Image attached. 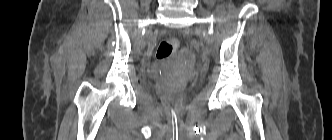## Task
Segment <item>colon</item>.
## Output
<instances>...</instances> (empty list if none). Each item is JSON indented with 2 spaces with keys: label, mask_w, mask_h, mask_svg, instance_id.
Segmentation results:
<instances>
[{
  "label": "colon",
  "mask_w": 332,
  "mask_h": 140,
  "mask_svg": "<svg viewBox=\"0 0 332 140\" xmlns=\"http://www.w3.org/2000/svg\"><path fill=\"white\" fill-rule=\"evenodd\" d=\"M179 48V41L175 38L167 39L158 45L156 49V58L166 60L171 57Z\"/></svg>",
  "instance_id": "colon-1"
}]
</instances>
